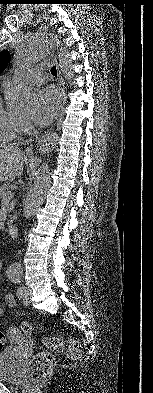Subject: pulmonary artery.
Here are the masks:
<instances>
[{
  "instance_id": "1",
  "label": "pulmonary artery",
  "mask_w": 153,
  "mask_h": 393,
  "mask_svg": "<svg viewBox=\"0 0 153 393\" xmlns=\"http://www.w3.org/2000/svg\"><path fill=\"white\" fill-rule=\"evenodd\" d=\"M19 80L27 84H39L43 81V75L36 67H33L20 75Z\"/></svg>"
}]
</instances>
